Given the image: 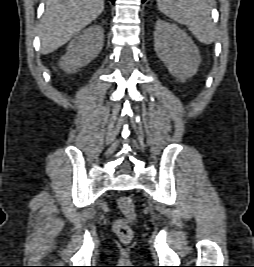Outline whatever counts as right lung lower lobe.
<instances>
[{"mask_svg":"<svg viewBox=\"0 0 254 267\" xmlns=\"http://www.w3.org/2000/svg\"><path fill=\"white\" fill-rule=\"evenodd\" d=\"M112 3H114L115 2V0H110Z\"/></svg>","mask_w":254,"mask_h":267,"instance_id":"1","label":"right lung lower lobe"}]
</instances>
